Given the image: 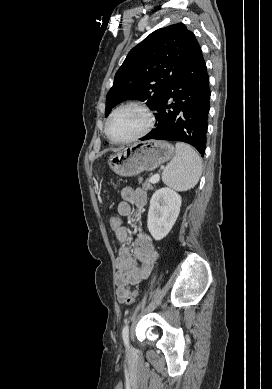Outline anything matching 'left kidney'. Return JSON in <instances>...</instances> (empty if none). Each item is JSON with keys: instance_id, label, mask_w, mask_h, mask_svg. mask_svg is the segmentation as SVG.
<instances>
[{"instance_id": "obj_1", "label": "left kidney", "mask_w": 272, "mask_h": 389, "mask_svg": "<svg viewBox=\"0 0 272 389\" xmlns=\"http://www.w3.org/2000/svg\"><path fill=\"white\" fill-rule=\"evenodd\" d=\"M181 196L171 188L155 191L150 200L148 229L155 240L163 239L175 224L181 207Z\"/></svg>"}]
</instances>
